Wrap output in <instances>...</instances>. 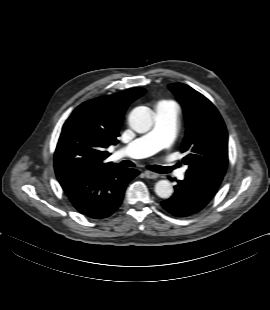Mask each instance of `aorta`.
<instances>
[{
    "label": "aorta",
    "instance_id": "obj_1",
    "mask_svg": "<svg viewBox=\"0 0 270 310\" xmlns=\"http://www.w3.org/2000/svg\"><path fill=\"white\" fill-rule=\"evenodd\" d=\"M130 127L137 133L148 132L153 125L152 111L144 106L133 109L129 115ZM155 192L160 198L167 199L173 194L172 184L168 180H159Z\"/></svg>",
    "mask_w": 270,
    "mask_h": 310
}]
</instances>
